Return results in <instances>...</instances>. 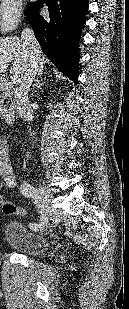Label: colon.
<instances>
[{"label":"colon","instance_id":"obj_1","mask_svg":"<svg viewBox=\"0 0 129 309\" xmlns=\"http://www.w3.org/2000/svg\"><path fill=\"white\" fill-rule=\"evenodd\" d=\"M3 212L5 214H15V215H20V216L27 215V211L24 208H21L19 206L12 205L9 203L3 204Z\"/></svg>","mask_w":129,"mask_h":309}]
</instances>
